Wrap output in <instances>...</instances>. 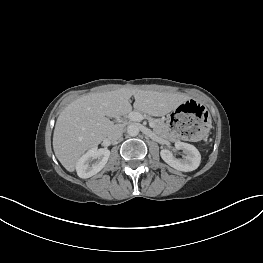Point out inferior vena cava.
Wrapping results in <instances>:
<instances>
[{"label": "inferior vena cava", "mask_w": 263, "mask_h": 263, "mask_svg": "<svg viewBox=\"0 0 263 263\" xmlns=\"http://www.w3.org/2000/svg\"><path fill=\"white\" fill-rule=\"evenodd\" d=\"M123 128L120 125H115L114 128L109 132L108 138L112 141H117L122 137Z\"/></svg>", "instance_id": "obj_1"}]
</instances>
